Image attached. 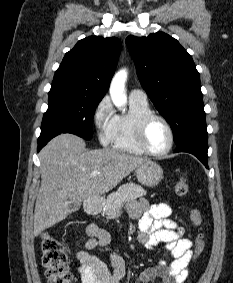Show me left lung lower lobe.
I'll list each match as a JSON object with an SVG mask.
<instances>
[{
	"mask_svg": "<svg viewBox=\"0 0 233 283\" xmlns=\"http://www.w3.org/2000/svg\"><path fill=\"white\" fill-rule=\"evenodd\" d=\"M175 152H188L196 156L208 168L207 138H193L177 146Z\"/></svg>",
	"mask_w": 233,
	"mask_h": 283,
	"instance_id": "0a47b994",
	"label": "left lung lower lobe"
}]
</instances>
